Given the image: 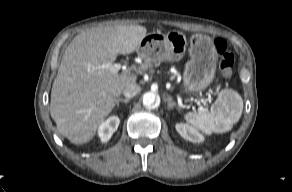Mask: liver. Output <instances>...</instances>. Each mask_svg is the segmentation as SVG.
Listing matches in <instances>:
<instances>
[{
    "mask_svg": "<svg viewBox=\"0 0 292 192\" xmlns=\"http://www.w3.org/2000/svg\"><path fill=\"white\" fill-rule=\"evenodd\" d=\"M146 32L139 25H117L87 29L74 37L51 90L50 114L61 135L74 144L93 139L125 85L137 79L130 72L112 73L109 66L119 54L137 50ZM151 66L145 60L135 71L142 74Z\"/></svg>",
    "mask_w": 292,
    "mask_h": 192,
    "instance_id": "1",
    "label": "liver"
}]
</instances>
